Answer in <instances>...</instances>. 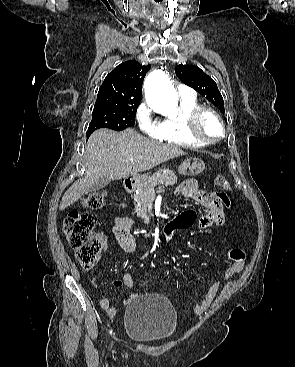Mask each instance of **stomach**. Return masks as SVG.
<instances>
[{"mask_svg":"<svg viewBox=\"0 0 295 367\" xmlns=\"http://www.w3.org/2000/svg\"><path fill=\"white\" fill-rule=\"evenodd\" d=\"M205 169V164L202 160L193 158V159H187L185 160L179 167L178 172L181 175L185 176H195L199 173H201ZM148 177L142 176L138 180V185L142 182L146 181Z\"/></svg>","mask_w":295,"mask_h":367,"instance_id":"0dacf381","label":"stomach"}]
</instances>
